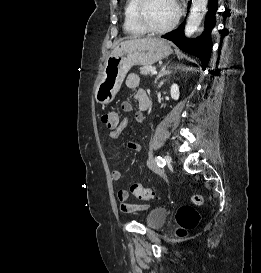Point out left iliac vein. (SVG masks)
<instances>
[{"instance_id":"obj_1","label":"left iliac vein","mask_w":261,"mask_h":273,"mask_svg":"<svg viewBox=\"0 0 261 273\" xmlns=\"http://www.w3.org/2000/svg\"><path fill=\"white\" fill-rule=\"evenodd\" d=\"M164 159H165V162H167L168 164H170L171 161H172V159H171V157L169 155H165Z\"/></svg>"}]
</instances>
